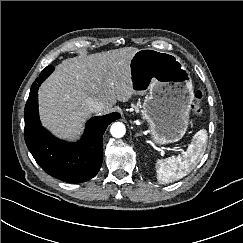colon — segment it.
<instances>
[{
	"instance_id": "1",
	"label": "colon",
	"mask_w": 243,
	"mask_h": 243,
	"mask_svg": "<svg viewBox=\"0 0 243 243\" xmlns=\"http://www.w3.org/2000/svg\"><path fill=\"white\" fill-rule=\"evenodd\" d=\"M203 99V93L200 90L195 91L194 93V104L192 106V110L195 113H198L201 111V102Z\"/></svg>"
}]
</instances>
